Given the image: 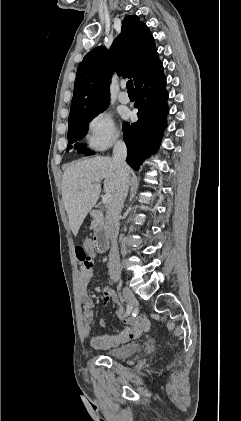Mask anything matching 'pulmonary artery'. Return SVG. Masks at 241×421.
Segmentation results:
<instances>
[{"instance_id":"obj_1","label":"pulmonary artery","mask_w":241,"mask_h":421,"mask_svg":"<svg viewBox=\"0 0 241 421\" xmlns=\"http://www.w3.org/2000/svg\"><path fill=\"white\" fill-rule=\"evenodd\" d=\"M118 100H119V102H121L123 104H127V103H129L130 98H129V96L126 92L122 91L118 94Z\"/></svg>"}]
</instances>
